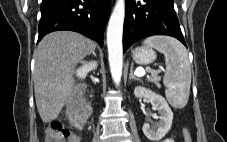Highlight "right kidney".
I'll list each match as a JSON object with an SVG mask.
<instances>
[{
	"label": "right kidney",
	"mask_w": 227,
	"mask_h": 142,
	"mask_svg": "<svg viewBox=\"0 0 227 142\" xmlns=\"http://www.w3.org/2000/svg\"><path fill=\"white\" fill-rule=\"evenodd\" d=\"M97 66L96 61L82 62V66L77 69L76 75L79 79H84L90 71L96 70Z\"/></svg>",
	"instance_id": "ca27d5eb"
}]
</instances>
